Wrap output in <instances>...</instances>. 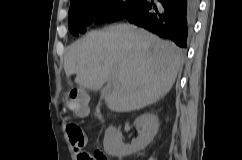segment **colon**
Listing matches in <instances>:
<instances>
[{"instance_id":"obj_1","label":"colon","mask_w":242,"mask_h":160,"mask_svg":"<svg viewBox=\"0 0 242 160\" xmlns=\"http://www.w3.org/2000/svg\"><path fill=\"white\" fill-rule=\"evenodd\" d=\"M62 108L65 112H85L88 109V101L86 95L82 91L71 90L63 97ZM66 132L68 133L72 143L81 148L85 142L84 132L82 128L74 122L66 123ZM82 160H108L107 157L96 151L93 154L83 153Z\"/></svg>"}]
</instances>
